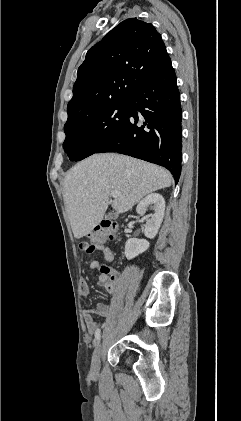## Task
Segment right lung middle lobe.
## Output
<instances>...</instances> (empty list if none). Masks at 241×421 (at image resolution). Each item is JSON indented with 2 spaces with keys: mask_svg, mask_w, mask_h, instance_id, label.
<instances>
[{
  "mask_svg": "<svg viewBox=\"0 0 241 421\" xmlns=\"http://www.w3.org/2000/svg\"><path fill=\"white\" fill-rule=\"evenodd\" d=\"M129 102L121 101L92 113L67 127L63 148L72 161H80L96 153L125 125Z\"/></svg>",
  "mask_w": 241,
  "mask_h": 421,
  "instance_id": "obj_1",
  "label": "right lung middle lobe"
}]
</instances>
